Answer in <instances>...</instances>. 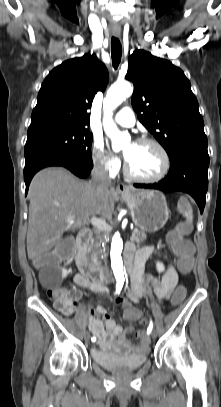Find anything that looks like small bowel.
<instances>
[{
  "mask_svg": "<svg viewBox=\"0 0 221 407\" xmlns=\"http://www.w3.org/2000/svg\"><path fill=\"white\" fill-rule=\"evenodd\" d=\"M133 253L132 247L127 249ZM162 257L167 261V268L160 278H156L150 274L145 273V265L148 259L153 256ZM76 286L80 288H88L94 292L107 294L108 290L100 283L94 282L89 277L83 274H76L73 278ZM131 289L128 297L116 299L124 310L126 306L133 305L138 300L147 296L151 298V290L160 302L169 300L170 292L178 286V273L175 268L170 264L167 258L153 246H147L137 251L133 263V268L130 277ZM75 298V303L81 298V291L78 289H70L68 291ZM74 306L66 314H71ZM90 316L88 321L89 330L96 336L97 345L102 350H110L113 348L122 347L126 351H141L147 349L146 340L142 331H136V335L140 339L137 346H132L126 340V335L134 331L133 327H123L118 324L113 317L109 314L107 309L101 305H96L89 308ZM101 316L104 320H100Z\"/></svg>",
  "mask_w": 221,
  "mask_h": 407,
  "instance_id": "small-bowel-1",
  "label": "small bowel"
}]
</instances>
